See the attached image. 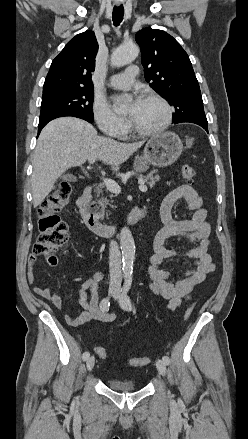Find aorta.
I'll return each instance as SVG.
<instances>
[{
    "instance_id": "aorta-1",
    "label": "aorta",
    "mask_w": 248,
    "mask_h": 439,
    "mask_svg": "<svg viewBox=\"0 0 248 439\" xmlns=\"http://www.w3.org/2000/svg\"><path fill=\"white\" fill-rule=\"evenodd\" d=\"M139 54V47L136 44H124L119 46L111 55V65L113 67H122L129 64ZM121 106L117 111L121 110ZM120 246L122 251L123 274L130 276L133 271L135 260V243L131 231L123 227L120 232Z\"/></svg>"
}]
</instances>
